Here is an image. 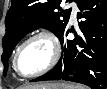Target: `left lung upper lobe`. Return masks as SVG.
I'll return each instance as SVG.
<instances>
[{"instance_id": "obj_1", "label": "left lung upper lobe", "mask_w": 107, "mask_h": 89, "mask_svg": "<svg viewBox=\"0 0 107 89\" xmlns=\"http://www.w3.org/2000/svg\"><path fill=\"white\" fill-rule=\"evenodd\" d=\"M60 3L61 0H12L5 19L6 34L2 40L4 74L7 72V61L14 47L27 33L42 27L60 38L71 12V9L61 10Z\"/></svg>"}]
</instances>
